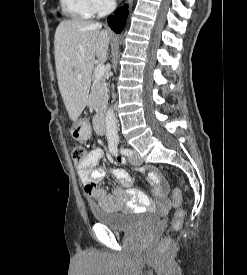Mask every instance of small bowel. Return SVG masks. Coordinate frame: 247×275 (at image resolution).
I'll return each instance as SVG.
<instances>
[{
  "instance_id": "small-bowel-1",
  "label": "small bowel",
  "mask_w": 247,
  "mask_h": 275,
  "mask_svg": "<svg viewBox=\"0 0 247 275\" xmlns=\"http://www.w3.org/2000/svg\"><path fill=\"white\" fill-rule=\"evenodd\" d=\"M103 156V151L100 148L90 150L85 159L77 164L78 175L85 185L94 186L91 194H88L93 202L102 210L107 212L124 211L128 209L153 210L159 207L163 211H167L170 207V201L167 195V185L159 171L155 168L138 167L139 173H147L150 184L153 186V195L155 201L141 190L133 187V180L130 174L123 169L113 170V175L120 182L121 187L115 188L112 191H106L99 188V184L105 177V172L97 167L98 162ZM119 163H124V158H118Z\"/></svg>"
}]
</instances>
